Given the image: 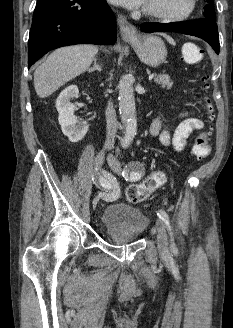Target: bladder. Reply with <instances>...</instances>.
Masks as SVG:
<instances>
[{
	"instance_id": "31cf9c89",
	"label": "bladder",
	"mask_w": 233,
	"mask_h": 328,
	"mask_svg": "<svg viewBox=\"0 0 233 328\" xmlns=\"http://www.w3.org/2000/svg\"><path fill=\"white\" fill-rule=\"evenodd\" d=\"M106 233L134 239L148 226V217L128 203L117 202L106 206L101 216Z\"/></svg>"
}]
</instances>
